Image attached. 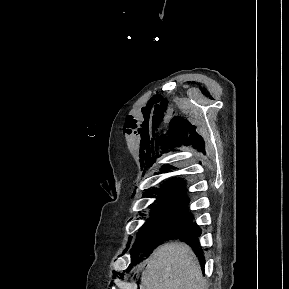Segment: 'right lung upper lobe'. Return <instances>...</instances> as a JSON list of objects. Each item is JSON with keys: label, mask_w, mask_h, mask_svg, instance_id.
I'll use <instances>...</instances> for the list:
<instances>
[{"label": "right lung upper lobe", "mask_w": 289, "mask_h": 289, "mask_svg": "<svg viewBox=\"0 0 289 289\" xmlns=\"http://www.w3.org/2000/svg\"><path fill=\"white\" fill-rule=\"evenodd\" d=\"M184 188L185 182L183 180L173 179L161 185L158 188L152 189L150 192L154 194H160L163 197H176V196H184L183 195Z\"/></svg>", "instance_id": "obj_1"}]
</instances>
